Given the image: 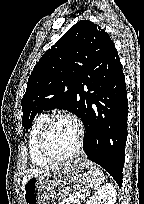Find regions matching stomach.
Masks as SVG:
<instances>
[{"label":"stomach","mask_w":144,"mask_h":204,"mask_svg":"<svg viewBox=\"0 0 144 204\" xmlns=\"http://www.w3.org/2000/svg\"><path fill=\"white\" fill-rule=\"evenodd\" d=\"M96 167L87 159H77L30 178L23 187L25 204H66L92 186Z\"/></svg>","instance_id":"obj_1"}]
</instances>
